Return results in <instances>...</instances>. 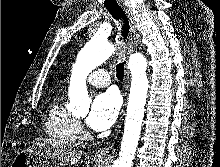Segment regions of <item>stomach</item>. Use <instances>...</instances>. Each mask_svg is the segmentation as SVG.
<instances>
[{
    "label": "stomach",
    "mask_w": 220,
    "mask_h": 167,
    "mask_svg": "<svg viewBox=\"0 0 220 167\" xmlns=\"http://www.w3.org/2000/svg\"><path fill=\"white\" fill-rule=\"evenodd\" d=\"M97 163L101 165L102 163H104V161H97ZM12 167H59V166L58 165L49 166L48 164L43 165L33 153L21 151L14 158L12 162Z\"/></svg>",
    "instance_id": "stomach-1"
}]
</instances>
